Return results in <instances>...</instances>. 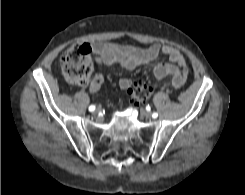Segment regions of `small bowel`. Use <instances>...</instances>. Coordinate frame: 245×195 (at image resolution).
<instances>
[{
    "mask_svg": "<svg viewBox=\"0 0 245 195\" xmlns=\"http://www.w3.org/2000/svg\"><path fill=\"white\" fill-rule=\"evenodd\" d=\"M90 53L100 65H119L124 69L133 70L139 66H150L156 80L169 77L168 85L173 88H181L188 77V66L180 51L169 45L154 43L147 48H139L134 45H121L116 43H94L88 45ZM160 55L168 57L164 62ZM104 82L101 74L93 76L85 85L91 92H97ZM120 88L130 90L132 80L122 78L119 80Z\"/></svg>",
    "mask_w": 245,
    "mask_h": 195,
    "instance_id": "obj_1",
    "label": "small bowel"
}]
</instances>
